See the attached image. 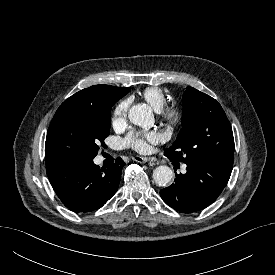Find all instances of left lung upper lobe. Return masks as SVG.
<instances>
[{
    "instance_id": "left-lung-upper-lobe-1",
    "label": "left lung upper lobe",
    "mask_w": 275,
    "mask_h": 275,
    "mask_svg": "<svg viewBox=\"0 0 275 275\" xmlns=\"http://www.w3.org/2000/svg\"><path fill=\"white\" fill-rule=\"evenodd\" d=\"M183 129L164 154L185 164L199 160L233 165L232 128L221 105L209 95L187 87L183 94Z\"/></svg>"
}]
</instances>
